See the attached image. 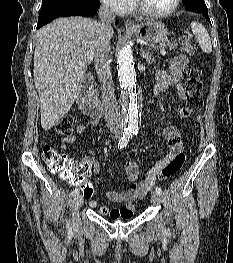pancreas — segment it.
Listing matches in <instances>:
<instances>
[{"mask_svg": "<svg viewBox=\"0 0 233 263\" xmlns=\"http://www.w3.org/2000/svg\"><path fill=\"white\" fill-rule=\"evenodd\" d=\"M159 48L161 50H164L165 48H169L170 51H174L177 48V43L175 40L169 41L168 39H166L159 45Z\"/></svg>", "mask_w": 233, "mask_h": 263, "instance_id": "pancreas-1", "label": "pancreas"}]
</instances>
